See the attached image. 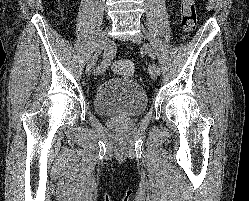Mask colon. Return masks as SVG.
<instances>
[{
	"mask_svg": "<svg viewBox=\"0 0 249 201\" xmlns=\"http://www.w3.org/2000/svg\"><path fill=\"white\" fill-rule=\"evenodd\" d=\"M181 26L185 35L191 33L196 28L197 24V11L196 0H181L180 7ZM114 73L131 77L134 74L135 66L130 60L122 59L113 64Z\"/></svg>",
	"mask_w": 249,
	"mask_h": 201,
	"instance_id": "colon-1",
	"label": "colon"
}]
</instances>
